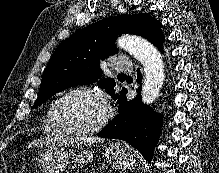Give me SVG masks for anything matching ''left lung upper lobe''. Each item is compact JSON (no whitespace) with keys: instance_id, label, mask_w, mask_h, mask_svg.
I'll use <instances>...</instances> for the list:
<instances>
[{"instance_id":"left-lung-upper-lobe-1","label":"left lung upper lobe","mask_w":219,"mask_h":173,"mask_svg":"<svg viewBox=\"0 0 219 173\" xmlns=\"http://www.w3.org/2000/svg\"><path fill=\"white\" fill-rule=\"evenodd\" d=\"M161 26L148 13L121 14L75 32L59 44L53 53L43 72L33 108L66 88L95 82L113 95V99H118L125 88H122L120 94L114 95L113 87L116 83L114 79H101L103 70L100 62L118 51L115 46L118 35H139L156 45L164 38Z\"/></svg>"}]
</instances>
